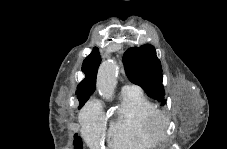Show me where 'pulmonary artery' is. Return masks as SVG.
I'll return each mask as SVG.
<instances>
[{
    "label": "pulmonary artery",
    "mask_w": 227,
    "mask_h": 149,
    "mask_svg": "<svg viewBox=\"0 0 227 149\" xmlns=\"http://www.w3.org/2000/svg\"><path fill=\"white\" fill-rule=\"evenodd\" d=\"M131 89H137V88H135L134 86H130V85H125L123 87V90H131Z\"/></svg>",
    "instance_id": "e3ab8cb5"
}]
</instances>
